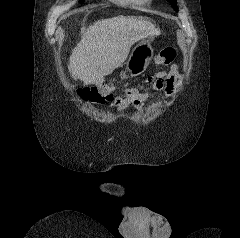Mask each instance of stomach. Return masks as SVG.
Masks as SVG:
<instances>
[{
	"instance_id": "0dacf381",
	"label": "stomach",
	"mask_w": 240,
	"mask_h": 238,
	"mask_svg": "<svg viewBox=\"0 0 240 238\" xmlns=\"http://www.w3.org/2000/svg\"><path fill=\"white\" fill-rule=\"evenodd\" d=\"M153 55L152 40L149 38L140 40L125 63V72L131 76L140 75L147 69Z\"/></svg>"
}]
</instances>
